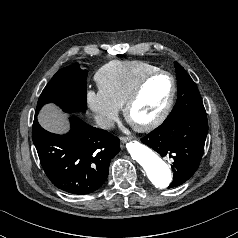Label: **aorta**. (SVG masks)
Here are the masks:
<instances>
[{
  "mask_svg": "<svg viewBox=\"0 0 238 238\" xmlns=\"http://www.w3.org/2000/svg\"><path fill=\"white\" fill-rule=\"evenodd\" d=\"M131 157L145 170L148 178L158 188H166L172 180L171 170L167 164L152 150L133 141L126 144Z\"/></svg>",
  "mask_w": 238,
  "mask_h": 238,
  "instance_id": "1",
  "label": "aorta"
}]
</instances>
